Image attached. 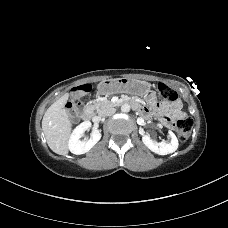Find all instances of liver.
Masks as SVG:
<instances>
[{"label": "liver", "instance_id": "6515ba94", "mask_svg": "<svg viewBox=\"0 0 228 228\" xmlns=\"http://www.w3.org/2000/svg\"><path fill=\"white\" fill-rule=\"evenodd\" d=\"M68 93L55 101L45 112L42 119V130L50 149L59 155L68 154V140L72 124L64 108Z\"/></svg>", "mask_w": 228, "mask_h": 228}]
</instances>
